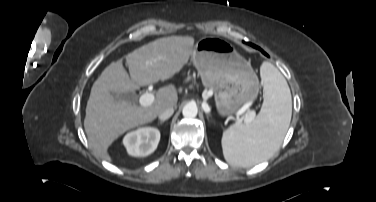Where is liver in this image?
<instances>
[{"mask_svg":"<svg viewBox=\"0 0 376 202\" xmlns=\"http://www.w3.org/2000/svg\"><path fill=\"white\" fill-rule=\"evenodd\" d=\"M194 45L189 36H170L154 40L125 56L130 76L122 60L112 62L94 82L87 101L84 128L94 153L112 161L109 146L124 132L153 121L167 108H175L176 88H160L149 106L118 101L111 92L132 93L140 86L165 81L188 62Z\"/></svg>","mask_w":376,"mask_h":202,"instance_id":"1","label":"liver"}]
</instances>
